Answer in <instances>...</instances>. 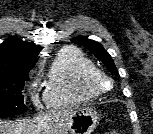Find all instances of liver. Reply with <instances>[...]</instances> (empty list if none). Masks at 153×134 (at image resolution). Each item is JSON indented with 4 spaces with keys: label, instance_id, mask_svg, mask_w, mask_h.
I'll use <instances>...</instances> for the list:
<instances>
[{
    "label": "liver",
    "instance_id": "obj_1",
    "mask_svg": "<svg viewBox=\"0 0 153 134\" xmlns=\"http://www.w3.org/2000/svg\"><path fill=\"white\" fill-rule=\"evenodd\" d=\"M76 109L68 108L39 115L32 121L0 122V134H65Z\"/></svg>",
    "mask_w": 153,
    "mask_h": 134
}]
</instances>
